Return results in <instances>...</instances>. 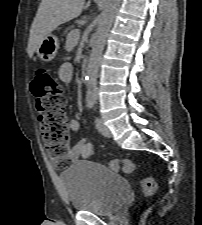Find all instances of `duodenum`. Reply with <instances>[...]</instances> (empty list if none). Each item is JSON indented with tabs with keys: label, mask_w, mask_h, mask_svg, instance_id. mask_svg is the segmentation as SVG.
I'll return each instance as SVG.
<instances>
[{
	"label": "duodenum",
	"mask_w": 202,
	"mask_h": 225,
	"mask_svg": "<svg viewBox=\"0 0 202 225\" xmlns=\"http://www.w3.org/2000/svg\"><path fill=\"white\" fill-rule=\"evenodd\" d=\"M88 66H89L88 60L84 59L81 64V78L83 80H85L86 76L88 75Z\"/></svg>",
	"instance_id": "410a0bca"
}]
</instances>
